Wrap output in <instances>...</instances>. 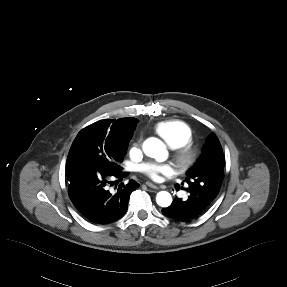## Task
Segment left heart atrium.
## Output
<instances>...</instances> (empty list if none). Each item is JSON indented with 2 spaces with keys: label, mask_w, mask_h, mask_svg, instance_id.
<instances>
[{
  "label": "left heart atrium",
  "mask_w": 287,
  "mask_h": 287,
  "mask_svg": "<svg viewBox=\"0 0 287 287\" xmlns=\"http://www.w3.org/2000/svg\"><path fill=\"white\" fill-rule=\"evenodd\" d=\"M141 169L153 181H160L162 176H171L175 173L171 164H144Z\"/></svg>",
  "instance_id": "1"
}]
</instances>
